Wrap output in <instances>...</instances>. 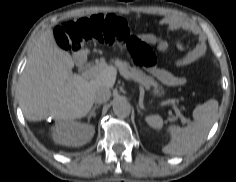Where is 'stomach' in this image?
I'll list each match as a JSON object with an SVG mask.
<instances>
[{"instance_id":"0dacf381","label":"stomach","mask_w":236,"mask_h":182,"mask_svg":"<svg viewBox=\"0 0 236 182\" xmlns=\"http://www.w3.org/2000/svg\"><path fill=\"white\" fill-rule=\"evenodd\" d=\"M159 93V89L154 90V95H157Z\"/></svg>"}]
</instances>
